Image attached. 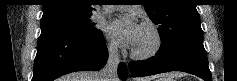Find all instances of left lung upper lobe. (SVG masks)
<instances>
[{"mask_svg":"<svg viewBox=\"0 0 237 81\" xmlns=\"http://www.w3.org/2000/svg\"><path fill=\"white\" fill-rule=\"evenodd\" d=\"M144 6L150 19L159 26L161 49L186 38L203 36L195 0H148Z\"/></svg>","mask_w":237,"mask_h":81,"instance_id":"left-lung-upper-lobe-1","label":"left lung upper lobe"}]
</instances>
